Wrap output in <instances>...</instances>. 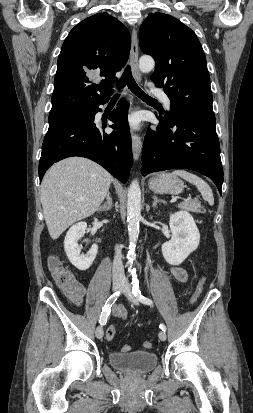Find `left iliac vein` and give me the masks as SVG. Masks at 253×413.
I'll return each mask as SVG.
<instances>
[{
    "mask_svg": "<svg viewBox=\"0 0 253 413\" xmlns=\"http://www.w3.org/2000/svg\"><path fill=\"white\" fill-rule=\"evenodd\" d=\"M122 291H123V294L127 297V299H128L130 302L138 305V303H139V302H138V299H137V298L134 296V294L132 293L130 284H129L128 282H126V283L124 284V286H123V288H122ZM158 336H159L160 340H162V341H165V340H166V333H165L163 330L159 331Z\"/></svg>",
    "mask_w": 253,
    "mask_h": 413,
    "instance_id": "left-iliac-vein-1",
    "label": "left iliac vein"
}]
</instances>
